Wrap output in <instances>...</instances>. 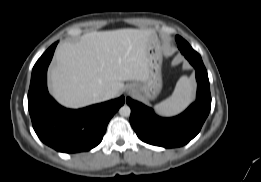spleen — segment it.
<instances>
[{"mask_svg":"<svg viewBox=\"0 0 261 182\" xmlns=\"http://www.w3.org/2000/svg\"><path fill=\"white\" fill-rule=\"evenodd\" d=\"M194 98L193 81L182 76L176 83L172 95L155 105V110L160 115L170 116L181 112Z\"/></svg>","mask_w":261,"mask_h":182,"instance_id":"1","label":"spleen"}]
</instances>
